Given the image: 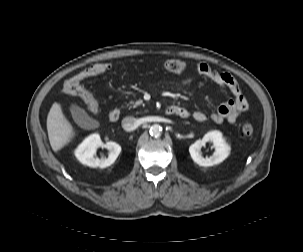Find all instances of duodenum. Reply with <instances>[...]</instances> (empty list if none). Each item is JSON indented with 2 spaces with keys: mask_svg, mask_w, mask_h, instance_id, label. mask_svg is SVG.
I'll return each instance as SVG.
<instances>
[{
  "mask_svg": "<svg viewBox=\"0 0 303 252\" xmlns=\"http://www.w3.org/2000/svg\"><path fill=\"white\" fill-rule=\"evenodd\" d=\"M169 114L181 115V110L177 106H169L166 109ZM121 115V109L119 107H113L109 112V119L112 122H116Z\"/></svg>",
  "mask_w": 303,
  "mask_h": 252,
  "instance_id": "410a0bca",
  "label": "duodenum"
}]
</instances>
